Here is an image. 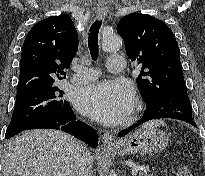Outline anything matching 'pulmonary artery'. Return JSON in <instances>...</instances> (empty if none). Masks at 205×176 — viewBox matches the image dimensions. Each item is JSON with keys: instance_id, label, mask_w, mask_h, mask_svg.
Segmentation results:
<instances>
[{"instance_id": "1", "label": "pulmonary artery", "mask_w": 205, "mask_h": 176, "mask_svg": "<svg viewBox=\"0 0 205 176\" xmlns=\"http://www.w3.org/2000/svg\"><path fill=\"white\" fill-rule=\"evenodd\" d=\"M108 70L115 74H121L125 68V62L121 55H111L107 59ZM76 74L71 78L73 84H85L94 81L99 76L98 70L85 66H79Z\"/></svg>"}]
</instances>
